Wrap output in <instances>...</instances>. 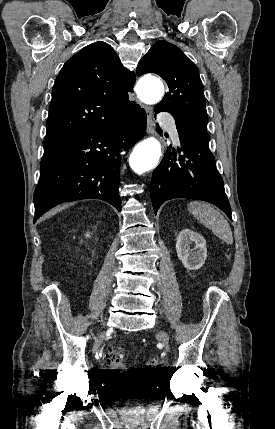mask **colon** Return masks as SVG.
<instances>
[{"label": "colon", "instance_id": "5ec220e1", "mask_svg": "<svg viewBox=\"0 0 275 429\" xmlns=\"http://www.w3.org/2000/svg\"><path fill=\"white\" fill-rule=\"evenodd\" d=\"M124 350L121 347H116L112 349L108 355V361L110 365L114 368V372L119 377H124L127 374V370L123 365ZM151 364L156 366L158 364L157 360H152Z\"/></svg>", "mask_w": 275, "mask_h": 429}]
</instances>
